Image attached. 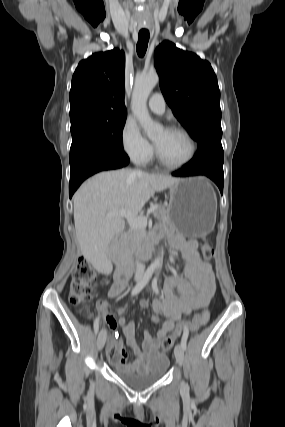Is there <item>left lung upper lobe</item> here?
<instances>
[{
    "label": "left lung upper lobe",
    "mask_w": 285,
    "mask_h": 427,
    "mask_svg": "<svg viewBox=\"0 0 285 427\" xmlns=\"http://www.w3.org/2000/svg\"><path fill=\"white\" fill-rule=\"evenodd\" d=\"M154 64L166 102L199 149L221 146L220 91L210 63L164 41Z\"/></svg>",
    "instance_id": "1"
}]
</instances>
